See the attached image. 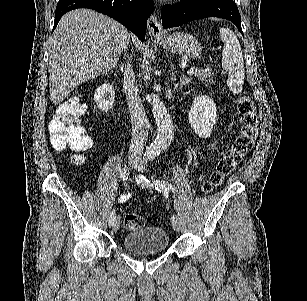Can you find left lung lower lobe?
<instances>
[{
	"instance_id": "1",
	"label": "left lung lower lobe",
	"mask_w": 307,
	"mask_h": 301,
	"mask_svg": "<svg viewBox=\"0 0 307 301\" xmlns=\"http://www.w3.org/2000/svg\"><path fill=\"white\" fill-rule=\"evenodd\" d=\"M161 17L164 28L206 17H219L233 22L242 33L240 13L233 0H182L178 4L164 6Z\"/></svg>"
}]
</instances>
